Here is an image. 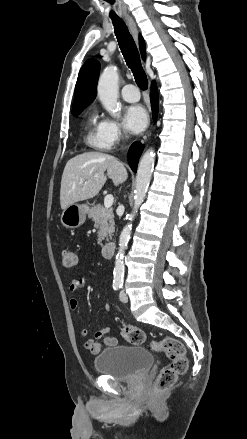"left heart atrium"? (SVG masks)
<instances>
[{"label": "left heart atrium", "instance_id": "1", "mask_svg": "<svg viewBox=\"0 0 247 439\" xmlns=\"http://www.w3.org/2000/svg\"><path fill=\"white\" fill-rule=\"evenodd\" d=\"M124 122L129 131L139 133L147 126L148 116L142 106L133 105L126 108Z\"/></svg>", "mask_w": 247, "mask_h": 439}]
</instances>
